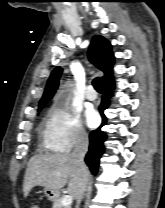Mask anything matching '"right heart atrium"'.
<instances>
[{"instance_id": "right-heart-atrium-1", "label": "right heart atrium", "mask_w": 165, "mask_h": 208, "mask_svg": "<svg viewBox=\"0 0 165 208\" xmlns=\"http://www.w3.org/2000/svg\"><path fill=\"white\" fill-rule=\"evenodd\" d=\"M47 147L55 152H68L88 141V134L77 110L54 105L48 112L44 133Z\"/></svg>"}]
</instances>
